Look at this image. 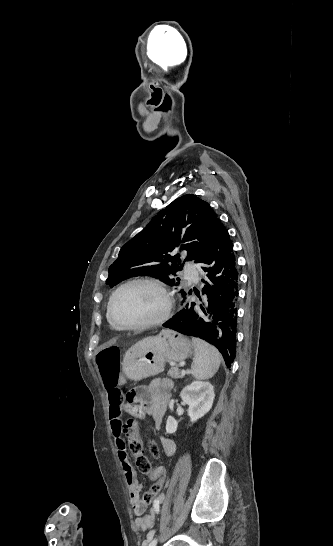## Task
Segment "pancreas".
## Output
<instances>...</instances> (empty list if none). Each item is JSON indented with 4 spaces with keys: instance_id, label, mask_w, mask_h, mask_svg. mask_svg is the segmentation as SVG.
Segmentation results:
<instances>
[{
    "instance_id": "obj_1",
    "label": "pancreas",
    "mask_w": 333,
    "mask_h": 546,
    "mask_svg": "<svg viewBox=\"0 0 333 546\" xmlns=\"http://www.w3.org/2000/svg\"><path fill=\"white\" fill-rule=\"evenodd\" d=\"M171 378H182L179 368L177 366L171 367L167 373Z\"/></svg>"
}]
</instances>
